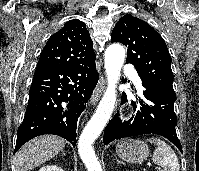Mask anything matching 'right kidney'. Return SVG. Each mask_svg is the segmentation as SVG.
Listing matches in <instances>:
<instances>
[{
	"instance_id": "ca27d5eb",
	"label": "right kidney",
	"mask_w": 199,
	"mask_h": 171,
	"mask_svg": "<svg viewBox=\"0 0 199 171\" xmlns=\"http://www.w3.org/2000/svg\"><path fill=\"white\" fill-rule=\"evenodd\" d=\"M38 171H64V170L57 165H47V166H42Z\"/></svg>"
}]
</instances>
